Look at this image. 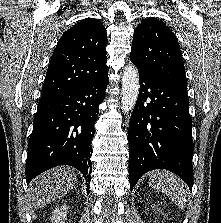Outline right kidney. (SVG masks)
<instances>
[{
    "instance_id": "right-kidney-1",
    "label": "right kidney",
    "mask_w": 221,
    "mask_h": 223,
    "mask_svg": "<svg viewBox=\"0 0 221 223\" xmlns=\"http://www.w3.org/2000/svg\"><path fill=\"white\" fill-rule=\"evenodd\" d=\"M67 211L68 207L66 205L56 207L52 212V223H65Z\"/></svg>"
}]
</instances>
